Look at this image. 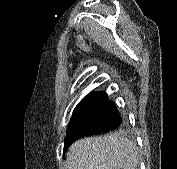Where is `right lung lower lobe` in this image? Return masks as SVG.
Wrapping results in <instances>:
<instances>
[{
  "label": "right lung lower lobe",
  "mask_w": 177,
  "mask_h": 169,
  "mask_svg": "<svg viewBox=\"0 0 177 169\" xmlns=\"http://www.w3.org/2000/svg\"><path fill=\"white\" fill-rule=\"evenodd\" d=\"M88 97L89 102L86 107L71 119L64 152L79 138L116 130L122 124L116 105L107 98L105 92H94Z\"/></svg>",
  "instance_id": "98d812e1"
}]
</instances>
